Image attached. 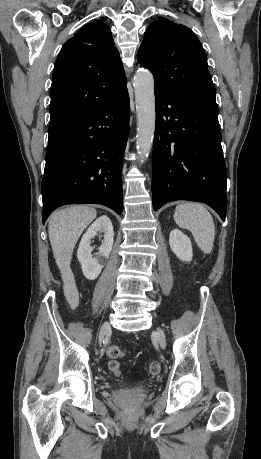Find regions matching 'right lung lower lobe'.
I'll use <instances>...</instances> for the list:
<instances>
[{
  "instance_id": "1",
  "label": "right lung lower lobe",
  "mask_w": 261,
  "mask_h": 459,
  "mask_svg": "<svg viewBox=\"0 0 261 459\" xmlns=\"http://www.w3.org/2000/svg\"><path fill=\"white\" fill-rule=\"evenodd\" d=\"M129 111L125 89L48 142L42 180L43 223L65 204H102L122 213V159Z\"/></svg>"
}]
</instances>
